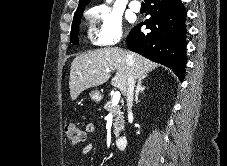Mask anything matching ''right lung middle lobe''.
I'll return each mask as SVG.
<instances>
[{
	"label": "right lung middle lobe",
	"instance_id": "1",
	"mask_svg": "<svg viewBox=\"0 0 227 166\" xmlns=\"http://www.w3.org/2000/svg\"><path fill=\"white\" fill-rule=\"evenodd\" d=\"M84 8L77 9L74 15L72 28H71V39L70 42L74 45L78 44V33H79V25L81 22V16L83 14Z\"/></svg>",
	"mask_w": 227,
	"mask_h": 166
}]
</instances>
